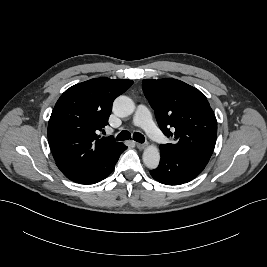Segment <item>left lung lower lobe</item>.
<instances>
[{
  "mask_svg": "<svg viewBox=\"0 0 267 267\" xmlns=\"http://www.w3.org/2000/svg\"><path fill=\"white\" fill-rule=\"evenodd\" d=\"M160 154V165L150 174L155 180L166 185H180L193 180L208 163L191 155L165 150H160Z\"/></svg>",
  "mask_w": 267,
  "mask_h": 267,
  "instance_id": "0a47b994",
  "label": "left lung lower lobe"
}]
</instances>
